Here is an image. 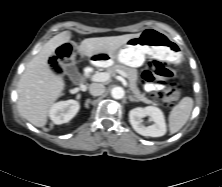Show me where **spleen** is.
<instances>
[{
  "mask_svg": "<svg viewBox=\"0 0 222 187\" xmlns=\"http://www.w3.org/2000/svg\"><path fill=\"white\" fill-rule=\"evenodd\" d=\"M193 108V99L184 97L173 107L169 114V131L170 134L178 132L188 121Z\"/></svg>",
  "mask_w": 222,
  "mask_h": 187,
  "instance_id": "obj_1",
  "label": "spleen"
}]
</instances>
